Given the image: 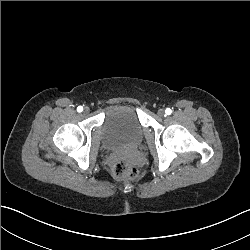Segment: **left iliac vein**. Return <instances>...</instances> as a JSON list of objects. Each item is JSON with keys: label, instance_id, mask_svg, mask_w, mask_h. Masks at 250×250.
<instances>
[{"label": "left iliac vein", "instance_id": "obj_1", "mask_svg": "<svg viewBox=\"0 0 250 250\" xmlns=\"http://www.w3.org/2000/svg\"><path fill=\"white\" fill-rule=\"evenodd\" d=\"M157 113L160 117H163L165 114L164 109H159Z\"/></svg>", "mask_w": 250, "mask_h": 250}]
</instances>
